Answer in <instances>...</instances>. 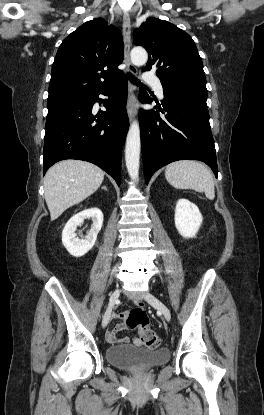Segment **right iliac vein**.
Returning a JSON list of instances; mask_svg holds the SVG:
<instances>
[{"label": "right iliac vein", "mask_w": 264, "mask_h": 415, "mask_svg": "<svg viewBox=\"0 0 264 415\" xmlns=\"http://www.w3.org/2000/svg\"><path fill=\"white\" fill-rule=\"evenodd\" d=\"M120 296V289H116L110 296L109 306L102 319V327H106L111 316L112 308Z\"/></svg>", "instance_id": "obj_1"}]
</instances>
